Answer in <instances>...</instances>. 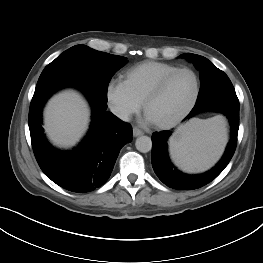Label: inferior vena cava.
<instances>
[{"mask_svg": "<svg viewBox=\"0 0 263 263\" xmlns=\"http://www.w3.org/2000/svg\"><path fill=\"white\" fill-rule=\"evenodd\" d=\"M111 112L123 121L129 120V114L121 108L111 107Z\"/></svg>", "mask_w": 263, "mask_h": 263, "instance_id": "obj_1", "label": "inferior vena cava"}]
</instances>
